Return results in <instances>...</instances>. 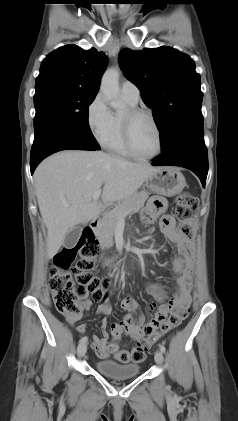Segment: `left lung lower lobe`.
<instances>
[{
    "label": "left lung lower lobe",
    "instance_id": "0a47b994",
    "mask_svg": "<svg viewBox=\"0 0 238 421\" xmlns=\"http://www.w3.org/2000/svg\"><path fill=\"white\" fill-rule=\"evenodd\" d=\"M162 151L163 153L152 165H173L188 168L199 177L202 186H205L208 173V156L204 143L203 123L186 128Z\"/></svg>",
    "mask_w": 238,
    "mask_h": 421
}]
</instances>
